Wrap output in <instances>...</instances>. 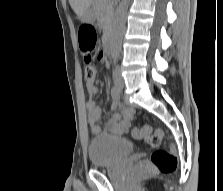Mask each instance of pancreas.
I'll return each mask as SVG.
<instances>
[{"label":"pancreas","mask_w":223,"mask_h":191,"mask_svg":"<svg viewBox=\"0 0 223 191\" xmlns=\"http://www.w3.org/2000/svg\"><path fill=\"white\" fill-rule=\"evenodd\" d=\"M93 9L104 31H108L113 17V3L111 0H94Z\"/></svg>","instance_id":"pancreas-1"}]
</instances>
